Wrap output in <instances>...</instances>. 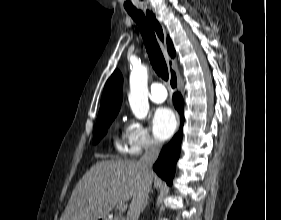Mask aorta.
Here are the masks:
<instances>
[{
	"label": "aorta",
	"instance_id": "aorta-1",
	"mask_svg": "<svg viewBox=\"0 0 281 220\" xmlns=\"http://www.w3.org/2000/svg\"><path fill=\"white\" fill-rule=\"evenodd\" d=\"M147 79L146 66L138 65L133 67L130 74L128 100L133 114L138 119H144L149 111Z\"/></svg>",
	"mask_w": 281,
	"mask_h": 220
}]
</instances>
